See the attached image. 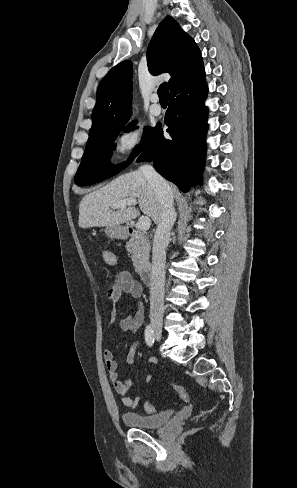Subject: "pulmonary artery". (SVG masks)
<instances>
[{"label": "pulmonary artery", "mask_w": 297, "mask_h": 488, "mask_svg": "<svg viewBox=\"0 0 297 488\" xmlns=\"http://www.w3.org/2000/svg\"><path fill=\"white\" fill-rule=\"evenodd\" d=\"M158 100H159V97L157 96V94L152 95V97H151L152 104H151L149 110H150V113L154 116H159L162 113V109L158 104Z\"/></svg>", "instance_id": "e3ab8cb5"}]
</instances>
